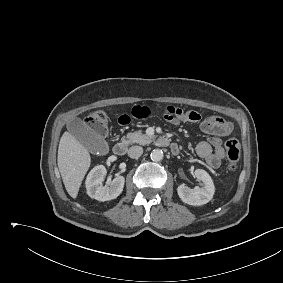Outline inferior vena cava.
<instances>
[{
    "label": "inferior vena cava",
    "instance_id": "602c4592",
    "mask_svg": "<svg viewBox=\"0 0 283 283\" xmlns=\"http://www.w3.org/2000/svg\"><path fill=\"white\" fill-rule=\"evenodd\" d=\"M143 153V148L141 146H132L128 150V156L130 158H139Z\"/></svg>",
    "mask_w": 283,
    "mask_h": 283
}]
</instances>
